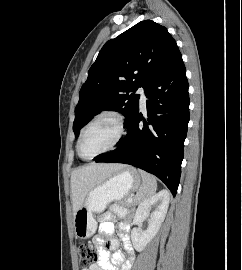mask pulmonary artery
I'll return each instance as SVG.
<instances>
[{
    "instance_id": "1",
    "label": "pulmonary artery",
    "mask_w": 242,
    "mask_h": 270,
    "mask_svg": "<svg viewBox=\"0 0 242 270\" xmlns=\"http://www.w3.org/2000/svg\"><path fill=\"white\" fill-rule=\"evenodd\" d=\"M137 92L140 95V106L142 109H145L147 99H146V96L144 93V89L142 87H140Z\"/></svg>"
}]
</instances>
